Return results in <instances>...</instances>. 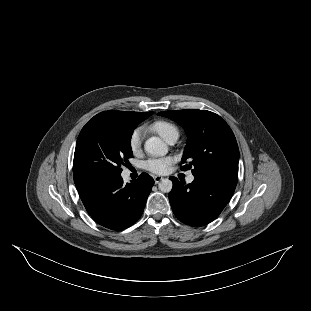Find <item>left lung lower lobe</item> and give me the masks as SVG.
<instances>
[{"mask_svg": "<svg viewBox=\"0 0 311 311\" xmlns=\"http://www.w3.org/2000/svg\"><path fill=\"white\" fill-rule=\"evenodd\" d=\"M194 177L188 185L170 177L173 189L169 201L181 222L200 227L216 219L227 205L236 188L238 173L220 171Z\"/></svg>", "mask_w": 311, "mask_h": 311, "instance_id": "left-lung-lower-lobe-1", "label": "left lung lower lobe"}]
</instances>
